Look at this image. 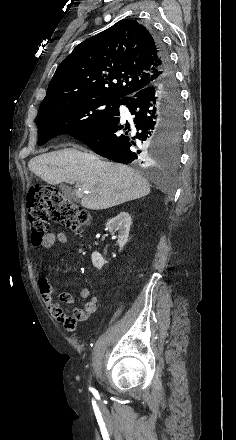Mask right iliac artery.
I'll use <instances>...</instances> for the list:
<instances>
[{"mask_svg": "<svg viewBox=\"0 0 236 440\" xmlns=\"http://www.w3.org/2000/svg\"><path fill=\"white\" fill-rule=\"evenodd\" d=\"M89 389H90V391L95 392V389H94V388H91V387H90Z\"/></svg>", "mask_w": 236, "mask_h": 440, "instance_id": "obj_1", "label": "right iliac artery"}]
</instances>
